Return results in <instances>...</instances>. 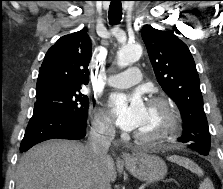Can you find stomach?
<instances>
[{"instance_id": "obj_1", "label": "stomach", "mask_w": 223, "mask_h": 189, "mask_svg": "<svg viewBox=\"0 0 223 189\" xmlns=\"http://www.w3.org/2000/svg\"><path fill=\"white\" fill-rule=\"evenodd\" d=\"M127 170L141 181L161 180L167 173L165 162L146 153H138L125 162Z\"/></svg>"}]
</instances>
